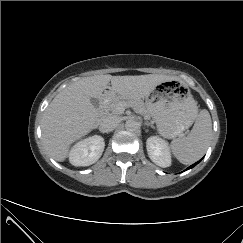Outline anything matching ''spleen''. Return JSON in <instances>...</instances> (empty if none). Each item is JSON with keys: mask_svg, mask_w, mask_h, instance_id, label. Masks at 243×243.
I'll return each instance as SVG.
<instances>
[{"mask_svg": "<svg viewBox=\"0 0 243 243\" xmlns=\"http://www.w3.org/2000/svg\"><path fill=\"white\" fill-rule=\"evenodd\" d=\"M211 134V117L209 112L203 109L196 115L195 124L189 135L171 142V151L182 164H192L204 156Z\"/></svg>", "mask_w": 243, "mask_h": 243, "instance_id": "3e777b00", "label": "spleen"}]
</instances>
